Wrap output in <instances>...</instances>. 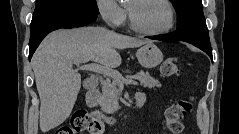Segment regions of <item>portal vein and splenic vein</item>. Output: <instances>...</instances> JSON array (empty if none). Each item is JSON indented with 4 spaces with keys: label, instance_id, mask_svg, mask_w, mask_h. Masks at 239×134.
<instances>
[{
    "label": "portal vein and splenic vein",
    "instance_id": "portal-vein-and-splenic-vein-1",
    "mask_svg": "<svg viewBox=\"0 0 239 134\" xmlns=\"http://www.w3.org/2000/svg\"><path fill=\"white\" fill-rule=\"evenodd\" d=\"M81 63H76V66L81 69V70H89L93 71L99 74H102L103 76H108L113 78L119 83L120 87H123L125 83L128 84H135L137 85L138 82L134 81L132 79H124L121 74L118 71H115L109 67H105L96 63H90V64H83L80 65Z\"/></svg>",
    "mask_w": 239,
    "mask_h": 134
}]
</instances>
